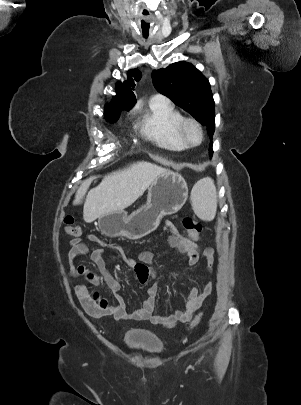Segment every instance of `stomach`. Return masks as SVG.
I'll use <instances>...</instances> for the list:
<instances>
[{"label": "stomach", "instance_id": "obj_1", "mask_svg": "<svg viewBox=\"0 0 301 405\" xmlns=\"http://www.w3.org/2000/svg\"><path fill=\"white\" fill-rule=\"evenodd\" d=\"M187 198L188 186L184 177L166 171L150 185L146 205L129 216L124 211L106 214L99 218V225L109 235L140 239L155 230L163 216L178 212Z\"/></svg>", "mask_w": 301, "mask_h": 405}]
</instances>
